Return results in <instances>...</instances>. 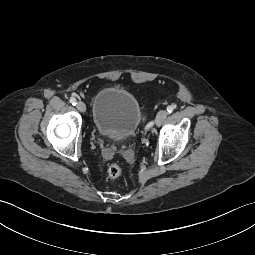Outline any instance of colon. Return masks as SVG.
<instances>
[{
  "label": "colon",
  "instance_id": "5ec220e1",
  "mask_svg": "<svg viewBox=\"0 0 255 255\" xmlns=\"http://www.w3.org/2000/svg\"><path fill=\"white\" fill-rule=\"evenodd\" d=\"M107 174L110 178H118L122 174V167L118 163H113L108 167Z\"/></svg>",
  "mask_w": 255,
  "mask_h": 255
}]
</instances>
